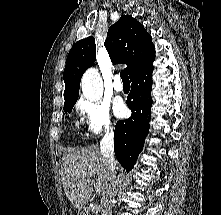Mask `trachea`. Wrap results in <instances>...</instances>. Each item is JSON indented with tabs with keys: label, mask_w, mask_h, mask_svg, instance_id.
<instances>
[{
	"label": "trachea",
	"mask_w": 221,
	"mask_h": 215,
	"mask_svg": "<svg viewBox=\"0 0 221 215\" xmlns=\"http://www.w3.org/2000/svg\"><path fill=\"white\" fill-rule=\"evenodd\" d=\"M120 76H121V79H122L123 83H130L129 77H128V74H127L126 71H122L120 73Z\"/></svg>",
	"instance_id": "obj_1"
}]
</instances>
